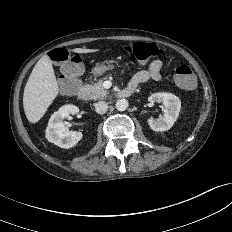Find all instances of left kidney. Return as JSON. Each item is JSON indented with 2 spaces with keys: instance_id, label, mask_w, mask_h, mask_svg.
Segmentation results:
<instances>
[{
  "instance_id": "obj_1",
  "label": "left kidney",
  "mask_w": 232,
  "mask_h": 232,
  "mask_svg": "<svg viewBox=\"0 0 232 232\" xmlns=\"http://www.w3.org/2000/svg\"><path fill=\"white\" fill-rule=\"evenodd\" d=\"M148 101L151 103L161 102L164 105L163 117L148 120L150 128L157 132L170 129L178 118L181 108L180 99L172 93L159 92L149 96Z\"/></svg>"
}]
</instances>
